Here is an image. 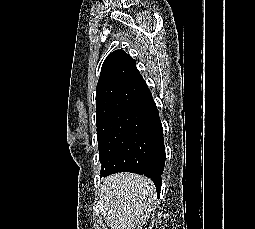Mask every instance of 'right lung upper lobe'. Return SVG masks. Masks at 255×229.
<instances>
[{
	"mask_svg": "<svg viewBox=\"0 0 255 229\" xmlns=\"http://www.w3.org/2000/svg\"><path fill=\"white\" fill-rule=\"evenodd\" d=\"M151 99L136 61L123 50L110 53L102 65L96 88L97 128L110 118Z\"/></svg>",
	"mask_w": 255,
	"mask_h": 229,
	"instance_id": "obj_1",
	"label": "right lung upper lobe"
}]
</instances>
